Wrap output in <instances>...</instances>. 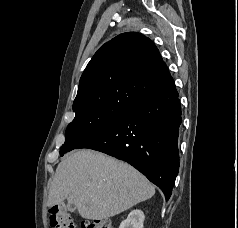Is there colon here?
<instances>
[{"instance_id":"1","label":"colon","mask_w":238,"mask_h":228,"mask_svg":"<svg viewBox=\"0 0 238 228\" xmlns=\"http://www.w3.org/2000/svg\"><path fill=\"white\" fill-rule=\"evenodd\" d=\"M49 222L52 228H75L74 219L64 205L50 207ZM82 228H112V224L107 219H99L83 222Z\"/></svg>"}]
</instances>
